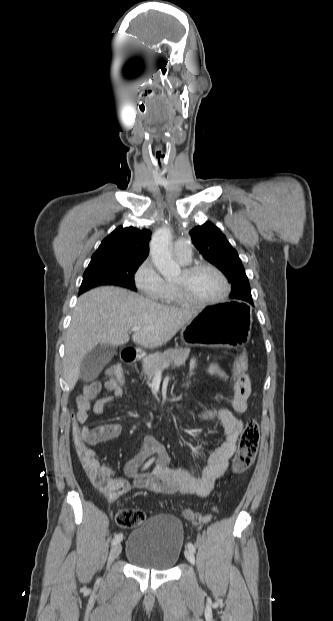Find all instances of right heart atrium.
<instances>
[{
    "label": "right heart atrium",
    "mask_w": 333,
    "mask_h": 621,
    "mask_svg": "<svg viewBox=\"0 0 333 621\" xmlns=\"http://www.w3.org/2000/svg\"><path fill=\"white\" fill-rule=\"evenodd\" d=\"M137 289L151 299H159L165 288V281L155 269L152 261L146 259L134 276Z\"/></svg>",
    "instance_id": "1"
}]
</instances>
